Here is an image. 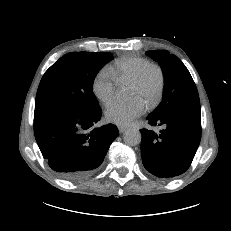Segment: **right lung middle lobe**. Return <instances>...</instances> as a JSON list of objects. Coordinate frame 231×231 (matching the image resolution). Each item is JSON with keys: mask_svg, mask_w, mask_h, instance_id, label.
Wrapping results in <instances>:
<instances>
[{"mask_svg": "<svg viewBox=\"0 0 231 231\" xmlns=\"http://www.w3.org/2000/svg\"><path fill=\"white\" fill-rule=\"evenodd\" d=\"M112 59L110 53L103 52L65 54L43 75L35 106L82 114L100 109L93 82L100 69Z\"/></svg>", "mask_w": 231, "mask_h": 231, "instance_id": "dd1d6c3e", "label": "right lung middle lobe"}]
</instances>
